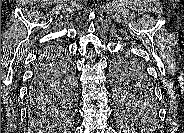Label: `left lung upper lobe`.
<instances>
[{
	"mask_svg": "<svg viewBox=\"0 0 184 133\" xmlns=\"http://www.w3.org/2000/svg\"><path fill=\"white\" fill-rule=\"evenodd\" d=\"M113 80L117 91V103L122 115L138 122H150L157 115V105L146 70L134 57L122 55L113 63ZM143 84L152 90L139 95L135 86Z\"/></svg>",
	"mask_w": 184,
	"mask_h": 133,
	"instance_id": "1",
	"label": "left lung upper lobe"
}]
</instances>
